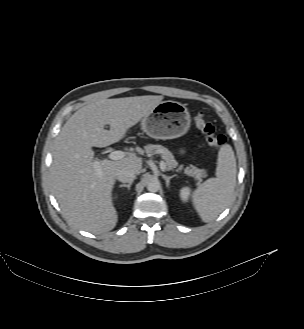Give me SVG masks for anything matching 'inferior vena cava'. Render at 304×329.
<instances>
[{"instance_id": "obj_1", "label": "inferior vena cava", "mask_w": 304, "mask_h": 329, "mask_svg": "<svg viewBox=\"0 0 304 329\" xmlns=\"http://www.w3.org/2000/svg\"><path fill=\"white\" fill-rule=\"evenodd\" d=\"M136 178L135 173L129 169H122L117 173V179L123 183H130Z\"/></svg>"}]
</instances>
